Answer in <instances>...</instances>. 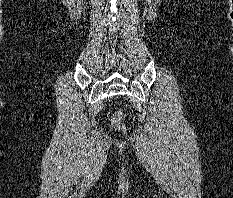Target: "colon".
<instances>
[{
    "instance_id": "5ec220e1",
    "label": "colon",
    "mask_w": 233,
    "mask_h": 198,
    "mask_svg": "<svg viewBox=\"0 0 233 198\" xmlns=\"http://www.w3.org/2000/svg\"><path fill=\"white\" fill-rule=\"evenodd\" d=\"M123 119H124V112L121 110L116 111L113 116H112V125L114 128L117 130H125V126L123 124Z\"/></svg>"
}]
</instances>
